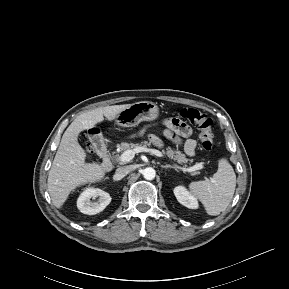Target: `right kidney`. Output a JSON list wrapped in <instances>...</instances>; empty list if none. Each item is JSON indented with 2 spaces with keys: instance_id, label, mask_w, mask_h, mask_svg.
I'll list each match as a JSON object with an SVG mask.
<instances>
[{
  "instance_id": "1",
  "label": "right kidney",
  "mask_w": 289,
  "mask_h": 289,
  "mask_svg": "<svg viewBox=\"0 0 289 289\" xmlns=\"http://www.w3.org/2000/svg\"><path fill=\"white\" fill-rule=\"evenodd\" d=\"M99 197L97 202L91 199ZM111 196L100 189L87 188L81 193L77 200V208L83 214L94 215L103 211L111 202Z\"/></svg>"
}]
</instances>
